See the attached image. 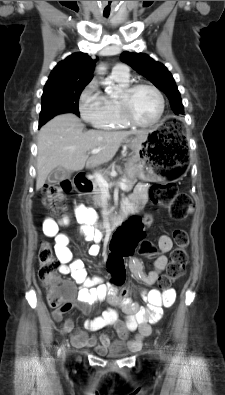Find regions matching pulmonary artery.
Masks as SVG:
<instances>
[{
	"label": "pulmonary artery",
	"mask_w": 225,
	"mask_h": 395,
	"mask_svg": "<svg viewBox=\"0 0 225 395\" xmlns=\"http://www.w3.org/2000/svg\"><path fill=\"white\" fill-rule=\"evenodd\" d=\"M111 75L122 79H128L130 77L129 68L125 64H117L113 67Z\"/></svg>",
	"instance_id": "e3ab8cb5"
}]
</instances>
